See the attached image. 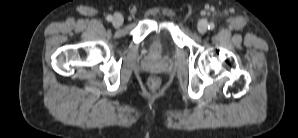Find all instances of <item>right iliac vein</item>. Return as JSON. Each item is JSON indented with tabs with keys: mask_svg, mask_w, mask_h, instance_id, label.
Listing matches in <instances>:
<instances>
[{
	"mask_svg": "<svg viewBox=\"0 0 298 138\" xmlns=\"http://www.w3.org/2000/svg\"><path fill=\"white\" fill-rule=\"evenodd\" d=\"M112 24L114 27H120L123 24V17L120 14H116L113 18Z\"/></svg>",
	"mask_w": 298,
	"mask_h": 138,
	"instance_id": "63e3f726",
	"label": "right iliac vein"
}]
</instances>
